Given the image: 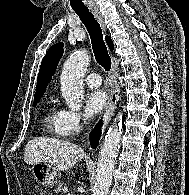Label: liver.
Listing matches in <instances>:
<instances>
[{
  "label": "liver",
  "mask_w": 189,
  "mask_h": 195,
  "mask_svg": "<svg viewBox=\"0 0 189 195\" xmlns=\"http://www.w3.org/2000/svg\"><path fill=\"white\" fill-rule=\"evenodd\" d=\"M84 150L71 142L54 138L38 137L30 140L24 151L26 164L48 162L58 170H68L84 158Z\"/></svg>",
  "instance_id": "6515ba94"
}]
</instances>
